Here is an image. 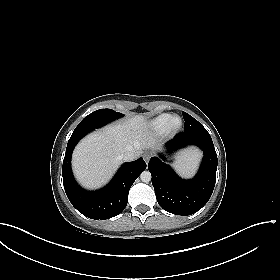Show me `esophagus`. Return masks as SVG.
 I'll list each match as a JSON object with an SVG mask.
<instances>
[{
  "mask_svg": "<svg viewBox=\"0 0 280 280\" xmlns=\"http://www.w3.org/2000/svg\"><path fill=\"white\" fill-rule=\"evenodd\" d=\"M150 158H151V154L150 153H145V155H144V160H145V162H149V160H150Z\"/></svg>",
  "mask_w": 280,
  "mask_h": 280,
  "instance_id": "esophagus-1",
  "label": "esophagus"
}]
</instances>
